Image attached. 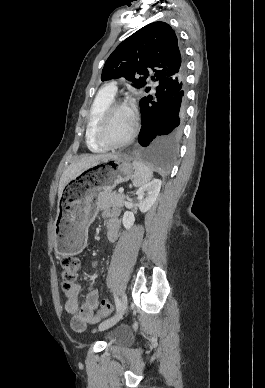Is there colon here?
Here are the masks:
<instances>
[{"label": "colon", "instance_id": "obj_1", "mask_svg": "<svg viewBox=\"0 0 265 388\" xmlns=\"http://www.w3.org/2000/svg\"><path fill=\"white\" fill-rule=\"evenodd\" d=\"M61 271V284L65 291L71 289L78 277L80 269V261L77 257L67 256L63 258ZM111 312V305L108 301H102L100 308L97 310L96 315L98 317H105Z\"/></svg>", "mask_w": 265, "mask_h": 388}]
</instances>
